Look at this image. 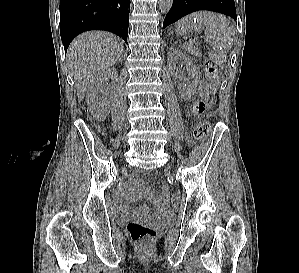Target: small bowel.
Wrapping results in <instances>:
<instances>
[{
  "label": "small bowel",
  "mask_w": 299,
  "mask_h": 273,
  "mask_svg": "<svg viewBox=\"0 0 299 273\" xmlns=\"http://www.w3.org/2000/svg\"><path fill=\"white\" fill-rule=\"evenodd\" d=\"M138 189L136 192L127 191L122 194L120 199V211L125 217H135V218H148L153 220L149 215V209L147 206H141L138 209L131 211L129 204L140 199L147 198L152 201L156 207V218L158 220H168L172 218V212L168 206L169 191L164 188L160 194H156L148 188L141 185L139 182Z\"/></svg>",
  "instance_id": "small-bowel-1"
}]
</instances>
